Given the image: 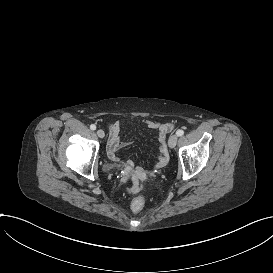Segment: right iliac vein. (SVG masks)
Masks as SVG:
<instances>
[{
  "label": "right iliac vein",
  "instance_id": "63e3f726",
  "mask_svg": "<svg viewBox=\"0 0 273 273\" xmlns=\"http://www.w3.org/2000/svg\"><path fill=\"white\" fill-rule=\"evenodd\" d=\"M97 135L100 137V138H103L105 136V133L103 130L99 129L97 130Z\"/></svg>",
  "mask_w": 273,
  "mask_h": 273
}]
</instances>
